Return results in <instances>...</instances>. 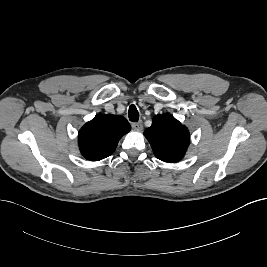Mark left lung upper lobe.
Listing matches in <instances>:
<instances>
[{
	"label": "left lung upper lobe",
	"mask_w": 267,
	"mask_h": 267,
	"mask_svg": "<svg viewBox=\"0 0 267 267\" xmlns=\"http://www.w3.org/2000/svg\"><path fill=\"white\" fill-rule=\"evenodd\" d=\"M155 156L167 163L178 162L184 157L190 142L186 126L169 114H158L151 127L144 131Z\"/></svg>",
	"instance_id": "obj_1"
}]
</instances>
